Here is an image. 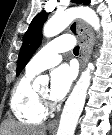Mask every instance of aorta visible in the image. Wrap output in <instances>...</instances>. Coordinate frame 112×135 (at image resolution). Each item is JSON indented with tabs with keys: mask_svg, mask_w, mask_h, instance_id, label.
<instances>
[{
	"mask_svg": "<svg viewBox=\"0 0 112 135\" xmlns=\"http://www.w3.org/2000/svg\"><path fill=\"white\" fill-rule=\"evenodd\" d=\"M75 18H81L89 23L96 31H99V18L94 10L89 7H79L69 9L62 13H56L44 25L43 35L53 37L62 32ZM93 64H89L87 69L82 72L81 77L74 86L69 98L67 99L59 122L57 135H74L78 119L83 110L87 90L90 86L91 70ZM47 79L38 76L34 84L47 83Z\"/></svg>",
	"mask_w": 112,
	"mask_h": 135,
	"instance_id": "aorta-1",
	"label": "aorta"
}]
</instances>
